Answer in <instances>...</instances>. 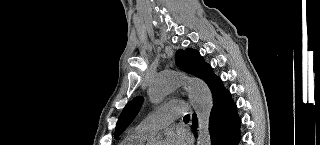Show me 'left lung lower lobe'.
Segmentation results:
<instances>
[{
  "label": "left lung lower lobe",
  "instance_id": "0a47b994",
  "mask_svg": "<svg viewBox=\"0 0 320 145\" xmlns=\"http://www.w3.org/2000/svg\"><path fill=\"white\" fill-rule=\"evenodd\" d=\"M197 77L207 83L213 95L214 105L209 123L212 145H238L240 119L230 92L223 87L222 81L214 75L212 68L207 64ZM197 126V117L194 114L192 129L195 130Z\"/></svg>",
  "mask_w": 320,
  "mask_h": 145
}]
</instances>
